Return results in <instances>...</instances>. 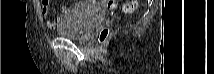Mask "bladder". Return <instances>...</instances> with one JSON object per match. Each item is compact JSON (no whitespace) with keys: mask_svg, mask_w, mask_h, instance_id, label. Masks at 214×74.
Segmentation results:
<instances>
[{"mask_svg":"<svg viewBox=\"0 0 214 74\" xmlns=\"http://www.w3.org/2000/svg\"><path fill=\"white\" fill-rule=\"evenodd\" d=\"M105 18L103 10L92 2L83 1L70 9L57 26V33L65 38L83 41L91 29Z\"/></svg>","mask_w":214,"mask_h":74,"instance_id":"31cf9c89","label":"bladder"}]
</instances>
